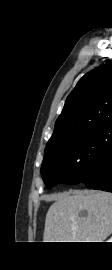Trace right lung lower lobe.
<instances>
[{
	"label": "right lung lower lobe",
	"instance_id": "right-lung-lower-lobe-1",
	"mask_svg": "<svg viewBox=\"0 0 112 270\" xmlns=\"http://www.w3.org/2000/svg\"><path fill=\"white\" fill-rule=\"evenodd\" d=\"M82 182L93 189L112 192V146L98 157Z\"/></svg>",
	"mask_w": 112,
	"mask_h": 270
}]
</instances>
